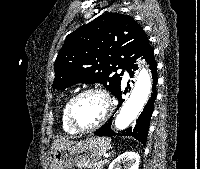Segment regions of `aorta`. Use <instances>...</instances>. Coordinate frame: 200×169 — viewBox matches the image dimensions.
Here are the masks:
<instances>
[{"mask_svg": "<svg viewBox=\"0 0 200 169\" xmlns=\"http://www.w3.org/2000/svg\"><path fill=\"white\" fill-rule=\"evenodd\" d=\"M152 79L147 68L142 67L128 100L123 104L115 119V128L124 130L143 110L151 92Z\"/></svg>", "mask_w": 200, "mask_h": 169, "instance_id": "obj_1", "label": "aorta"}]
</instances>
